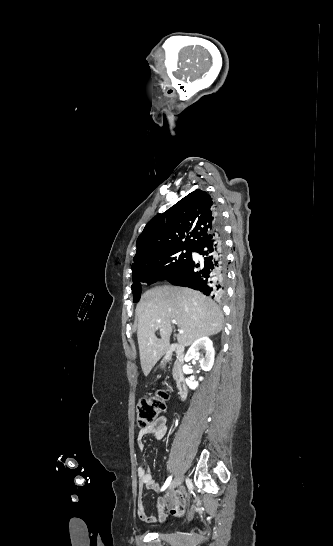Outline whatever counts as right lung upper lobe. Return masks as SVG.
Returning a JSON list of instances; mask_svg holds the SVG:
<instances>
[{
  "mask_svg": "<svg viewBox=\"0 0 333 546\" xmlns=\"http://www.w3.org/2000/svg\"><path fill=\"white\" fill-rule=\"evenodd\" d=\"M215 213L214 199L198 189L153 217L137 239L132 274L148 269L164 252L194 247L214 230Z\"/></svg>",
  "mask_w": 333,
  "mask_h": 546,
  "instance_id": "obj_1",
  "label": "right lung upper lobe"
}]
</instances>
